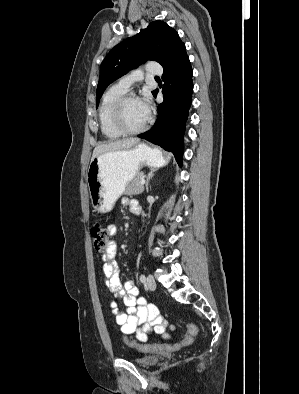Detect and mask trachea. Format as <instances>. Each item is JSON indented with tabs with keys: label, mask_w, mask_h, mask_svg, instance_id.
I'll return each instance as SVG.
<instances>
[{
	"label": "trachea",
	"mask_w": 299,
	"mask_h": 394,
	"mask_svg": "<svg viewBox=\"0 0 299 394\" xmlns=\"http://www.w3.org/2000/svg\"><path fill=\"white\" fill-rule=\"evenodd\" d=\"M155 79H159V77L156 76Z\"/></svg>",
	"instance_id": "1"
}]
</instances>
